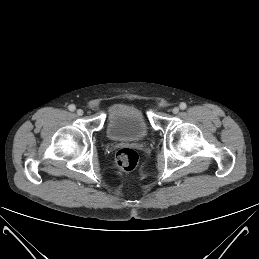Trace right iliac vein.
Wrapping results in <instances>:
<instances>
[{"label": "right iliac vein", "instance_id": "obj_1", "mask_svg": "<svg viewBox=\"0 0 259 259\" xmlns=\"http://www.w3.org/2000/svg\"><path fill=\"white\" fill-rule=\"evenodd\" d=\"M76 113H77V115L82 116L84 112H83L82 109H78V110L76 111Z\"/></svg>", "mask_w": 259, "mask_h": 259}]
</instances>
